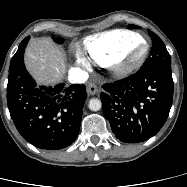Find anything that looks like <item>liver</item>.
Returning <instances> with one entry per match:
<instances>
[{"label": "liver", "mask_w": 187, "mask_h": 187, "mask_svg": "<svg viewBox=\"0 0 187 187\" xmlns=\"http://www.w3.org/2000/svg\"><path fill=\"white\" fill-rule=\"evenodd\" d=\"M25 64L38 84L53 85L66 72L62 48L45 38H32L25 53Z\"/></svg>", "instance_id": "obj_1"}]
</instances>
